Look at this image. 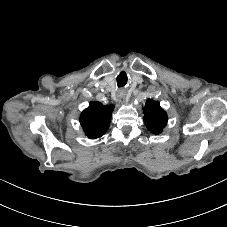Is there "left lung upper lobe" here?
I'll list each match as a JSON object with an SVG mask.
<instances>
[{
    "label": "left lung upper lobe",
    "mask_w": 227,
    "mask_h": 227,
    "mask_svg": "<svg viewBox=\"0 0 227 227\" xmlns=\"http://www.w3.org/2000/svg\"><path fill=\"white\" fill-rule=\"evenodd\" d=\"M144 121L147 128L154 134H159L167 124V114L159 102L148 99L143 109Z\"/></svg>",
    "instance_id": "obj_1"
}]
</instances>
